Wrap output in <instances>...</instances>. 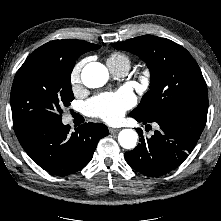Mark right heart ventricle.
Instances as JSON below:
<instances>
[{
	"mask_svg": "<svg viewBox=\"0 0 221 221\" xmlns=\"http://www.w3.org/2000/svg\"><path fill=\"white\" fill-rule=\"evenodd\" d=\"M107 64L110 66L127 65L130 67V59L125 54L114 52L109 55Z\"/></svg>",
	"mask_w": 221,
	"mask_h": 221,
	"instance_id": "obj_1",
	"label": "right heart ventricle"
}]
</instances>
